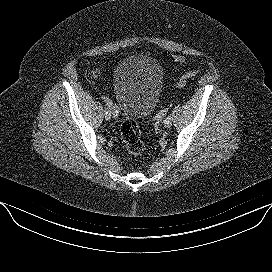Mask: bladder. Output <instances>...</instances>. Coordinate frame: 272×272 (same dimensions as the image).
Here are the masks:
<instances>
[{
    "mask_svg": "<svg viewBox=\"0 0 272 272\" xmlns=\"http://www.w3.org/2000/svg\"><path fill=\"white\" fill-rule=\"evenodd\" d=\"M164 82L160 63L138 54L121 61L113 75V92L122 111L130 118L146 117L158 104Z\"/></svg>",
    "mask_w": 272,
    "mask_h": 272,
    "instance_id": "bladder-1",
    "label": "bladder"
}]
</instances>
